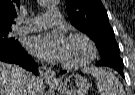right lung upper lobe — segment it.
<instances>
[{
  "label": "right lung upper lobe",
  "instance_id": "obj_1",
  "mask_svg": "<svg viewBox=\"0 0 135 95\" xmlns=\"http://www.w3.org/2000/svg\"><path fill=\"white\" fill-rule=\"evenodd\" d=\"M20 0H0V30H11Z\"/></svg>",
  "mask_w": 135,
  "mask_h": 95
}]
</instances>
